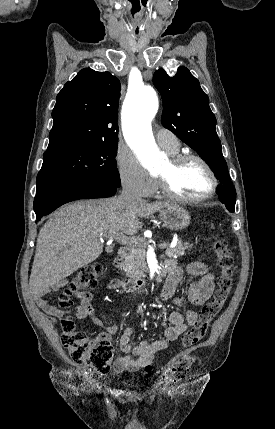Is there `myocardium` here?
Listing matches in <instances>:
<instances>
[{"label": "myocardium", "instance_id": "obj_1", "mask_svg": "<svg viewBox=\"0 0 275 429\" xmlns=\"http://www.w3.org/2000/svg\"><path fill=\"white\" fill-rule=\"evenodd\" d=\"M189 161L199 162L204 167L210 177L211 188L205 196L200 198H189L181 196L172 189L169 181L161 176H158L159 187L162 194L171 200L185 204H201L212 199L215 196L219 187V180L212 166L200 155L194 153H178L172 155L170 158V162L175 169L179 168L181 165Z\"/></svg>", "mask_w": 275, "mask_h": 429}]
</instances>
